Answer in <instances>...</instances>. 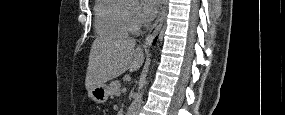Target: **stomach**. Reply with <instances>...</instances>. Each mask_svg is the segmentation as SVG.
Returning a JSON list of instances; mask_svg holds the SVG:
<instances>
[{
	"instance_id": "stomach-1",
	"label": "stomach",
	"mask_w": 285,
	"mask_h": 115,
	"mask_svg": "<svg viewBox=\"0 0 285 115\" xmlns=\"http://www.w3.org/2000/svg\"><path fill=\"white\" fill-rule=\"evenodd\" d=\"M109 96L108 86L103 84L88 91V97L97 104H103L107 101Z\"/></svg>"
}]
</instances>
